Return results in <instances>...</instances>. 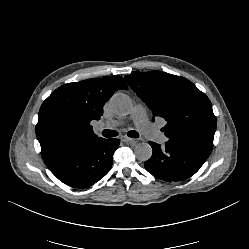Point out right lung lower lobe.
Segmentation results:
<instances>
[{
	"label": "right lung lower lobe",
	"mask_w": 249,
	"mask_h": 249,
	"mask_svg": "<svg viewBox=\"0 0 249 249\" xmlns=\"http://www.w3.org/2000/svg\"><path fill=\"white\" fill-rule=\"evenodd\" d=\"M118 146V139L101 138L94 143L74 147L47 167L66 185L86 188L109 172Z\"/></svg>",
	"instance_id": "1"
}]
</instances>
